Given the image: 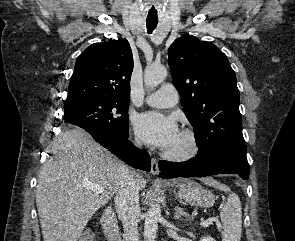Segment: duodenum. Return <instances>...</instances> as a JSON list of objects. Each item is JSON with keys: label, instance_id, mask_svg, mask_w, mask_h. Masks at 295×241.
<instances>
[{"label": "duodenum", "instance_id": "duodenum-1", "mask_svg": "<svg viewBox=\"0 0 295 241\" xmlns=\"http://www.w3.org/2000/svg\"><path fill=\"white\" fill-rule=\"evenodd\" d=\"M102 227L109 241H122V237L115 218V213L112 208L105 210L102 216Z\"/></svg>", "mask_w": 295, "mask_h": 241}]
</instances>
